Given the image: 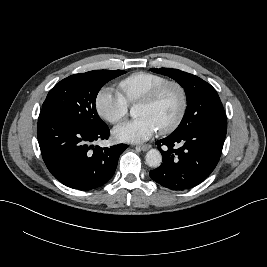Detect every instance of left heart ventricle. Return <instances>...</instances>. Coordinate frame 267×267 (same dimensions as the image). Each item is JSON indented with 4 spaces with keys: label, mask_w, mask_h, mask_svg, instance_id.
Wrapping results in <instances>:
<instances>
[{
    "label": "left heart ventricle",
    "mask_w": 267,
    "mask_h": 267,
    "mask_svg": "<svg viewBox=\"0 0 267 267\" xmlns=\"http://www.w3.org/2000/svg\"><path fill=\"white\" fill-rule=\"evenodd\" d=\"M180 94L174 86L167 87L152 105L139 104L136 116H147L157 126L158 130L169 125L180 109Z\"/></svg>",
    "instance_id": "obj_1"
}]
</instances>
